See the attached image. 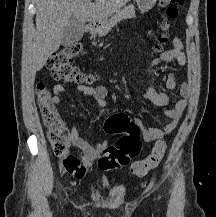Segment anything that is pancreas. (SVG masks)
Segmentation results:
<instances>
[{
  "instance_id": "obj_1",
  "label": "pancreas",
  "mask_w": 216,
  "mask_h": 217,
  "mask_svg": "<svg viewBox=\"0 0 216 217\" xmlns=\"http://www.w3.org/2000/svg\"><path fill=\"white\" fill-rule=\"evenodd\" d=\"M135 17V9L133 5H128L124 7L122 10H119L117 14L113 15L109 19H105L101 21V26L98 27V34L100 36L105 35L110 28L122 19H130Z\"/></svg>"
}]
</instances>
